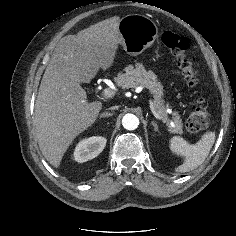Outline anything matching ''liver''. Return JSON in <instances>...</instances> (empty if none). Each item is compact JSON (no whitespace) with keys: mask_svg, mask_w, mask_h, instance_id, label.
<instances>
[{"mask_svg":"<svg viewBox=\"0 0 236 236\" xmlns=\"http://www.w3.org/2000/svg\"><path fill=\"white\" fill-rule=\"evenodd\" d=\"M119 22L114 16L63 37L46 67L35 103V128L39 148L55 168L102 109L100 101L88 102L80 84L113 66L122 40Z\"/></svg>","mask_w":236,"mask_h":236,"instance_id":"liver-1","label":"liver"}]
</instances>
